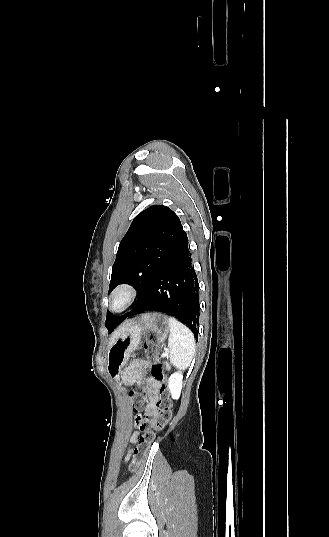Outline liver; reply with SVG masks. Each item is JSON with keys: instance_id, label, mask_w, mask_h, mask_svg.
<instances>
[{"instance_id": "obj_1", "label": "liver", "mask_w": 329, "mask_h": 537, "mask_svg": "<svg viewBox=\"0 0 329 537\" xmlns=\"http://www.w3.org/2000/svg\"><path fill=\"white\" fill-rule=\"evenodd\" d=\"M131 321H126L123 325H121L117 330H115L109 340V347L113 344V342L131 325Z\"/></svg>"}]
</instances>
